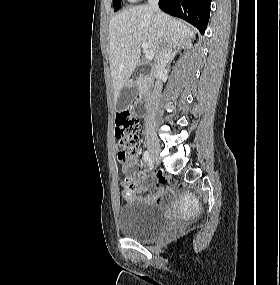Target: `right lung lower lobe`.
I'll use <instances>...</instances> for the list:
<instances>
[{"label":"right lung lower lobe","mask_w":280,"mask_h":285,"mask_svg":"<svg viewBox=\"0 0 280 285\" xmlns=\"http://www.w3.org/2000/svg\"><path fill=\"white\" fill-rule=\"evenodd\" d=\"M211 0H159V7L170 15L179 17L204 34L210 15Z\"/></svg>","instance_id":"1"}]
</instances>
